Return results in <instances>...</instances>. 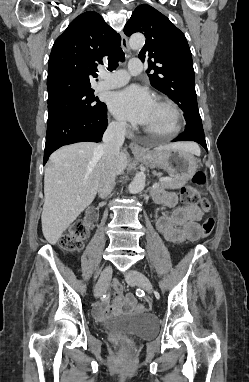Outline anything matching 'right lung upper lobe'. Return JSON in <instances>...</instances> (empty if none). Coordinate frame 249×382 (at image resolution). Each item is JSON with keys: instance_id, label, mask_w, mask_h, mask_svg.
I'll use <instances>...</instances> for the list:
<instances>
[{"instance_id": "obj_1", "label": "right lung upper lobe", "mask_w": 249, "mask_h": 382, "mask_svg": "<svg viewBox=\"0 0 249 382\" xmlns=\"http://www.w3.org/2000/svg\"><path fill=\"white\" fill-rule=\"evenodd\" d=\"M121 37L103 18L88 11L56 39L48 63V103L91 89L97 64L120 45Z\"/></svg>"}]
</instances>
